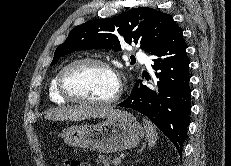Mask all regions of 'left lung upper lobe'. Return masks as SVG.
Segmentation results:
<instances>
[{"mask_svg":"<svg viewBox=\"0 0 231 166\" xmlns=\"http://www.w3.org/2000/svg\"><path fill=\"white\" fill-rule=\"evenodd\" d=\"M177 26L170 14L153 8L131 9L119 16L94 19L76 26L54 53L51 66L60 57L86 49L120 50L122 43L140 44L148 54L157 49Z\"/></svg>","mask_w":231,"mask_h":166,"instance_id":"left-lung-upper-lobe-1","label":"left lung upper lobe"}]
</instances>
